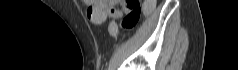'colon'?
<instances>
[{"label": "colon", "mask_w": 238, "mask_h": 70, "mask_svg": "<svg viewBox=\"0 0 238 70\" xmlns=\"http://www.w3.org/2000/svg\"><path fill=\"white\" fill-rule=\"evenodd\" d=\"M125 4L129 12L123 21V26L126 29H131L137 25L142 14H148L154 9L156 1L146 0L142 5L138 0H126ZM119 28L120 21H109V27L107 28V31L112 37H116L118 35Z\"/></svg>", "instance_id": "obj_1"}]
</instances>
